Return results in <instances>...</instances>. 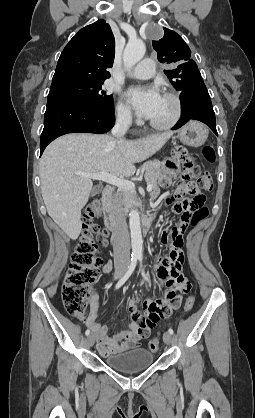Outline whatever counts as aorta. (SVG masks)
I'll use <instances>...</instances> for the list:
<instances>
[{"instance_id": "aorta-1", "label": "aorta", "mask_w": 255, "mask_h": 418, "mask_svg": "<svg viewBox=\"0 0 255 418\" xmlns=\"http://www.w3.org/2000/svg\"><path fill=\"white\" fill-rule=\"evenodd\" d=\"M146 47L141 41H130L126 45L123 53L124 67L129 70L138 63L145 55ZM129 226L131 233L132 254L141 256L143 240L140 226V216L137 210H132L129 214Z\"/></svg>"}]
</instances>
